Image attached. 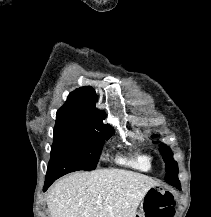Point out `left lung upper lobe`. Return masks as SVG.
<instances>
[{
	"mask_svg": "<svg viewBox=\"0 0 211 217\" xmlns=\"http://www.w3.org/2000/svg\"><path fill=\"white\" fill-rule=\"evenodd\" d=\"M160 152L163 155L166 167L165 180L172 186L176 188H181L180 181L178 179V165L177 162L173 159V154L171 149L165 144L161 143Z\"/></svg>",
	"mask_w": 211,
	"mask_h": 217,
	"instance_id": "1",
	"label": "left lung upper lobe"
}]
</instances>
